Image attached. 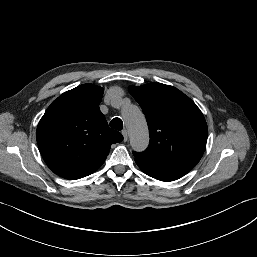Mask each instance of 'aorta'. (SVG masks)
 <instances>
[{"mask_svg": "<svg viewBox=\"0 0 257 257\" xmlns=\"http://www.w3.org/2000/svg\"><path fill=\"white\" fill-rule=\"evenodd\" d=\"M123 118L130 132V143L134 150L143 151L149 143L146 120L142 111L135 105L123 108Z\"/></svg>", "mask_w": 257, "mask_h": 257, "instance_id": "1", "label": "aorta"}]
</instances>
